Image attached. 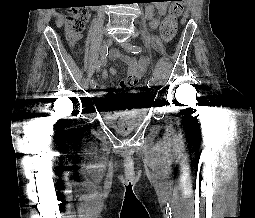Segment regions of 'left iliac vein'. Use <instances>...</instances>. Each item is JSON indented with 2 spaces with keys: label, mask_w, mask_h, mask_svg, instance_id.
Returning a JSON list of instances; mask_svg holds the SVG:
<instances>
[{
  "label": "left iliac vein",
  "mask_w": 255,
  "mask_h": 218,
  "mask_svg": "<svg viewBox=\"0 0 255 218\" xmlns=\"http://www.w3.org/2000/svg\"><path fill=\"white\" fill-rule=\"evenodd\" d=\"M120 45L126 51H130V49L132 47V44L129 42H121Z\"/></svg>",
  "instance_id": "1"
}]
</instances>
